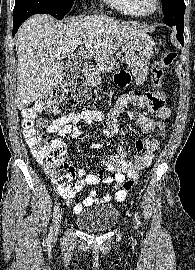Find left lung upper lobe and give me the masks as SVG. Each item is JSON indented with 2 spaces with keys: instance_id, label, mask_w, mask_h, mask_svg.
<instances>
[{
  "instance_id": "left-lung-upper-lobe-1",
  "label": "left lung upper lobe",
  "mask_w": 195,
  "mask_h": 270,
  "mask_svg": "<svg viewBox=\"0 0 195 270\" xmlns=\"http://www.w3.org/2000/svg\"><path fill=\"white\" fill-rule=\"evenodd\" d=\"M165 23L169 26L184 24V0H161Z\"/></svg>"
}]
</instances>
